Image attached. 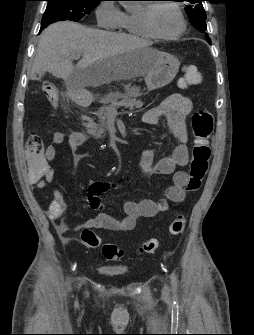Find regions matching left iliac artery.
Returning a JSON list of instances; mask_svg holds the SVG:
<instances>
[{
    "label": "left iliac artery",
    "instance_id": "1",
    "mask_svg": "<svg viewBox=\"0 0 254 335\" xmlns=\"http://www.w3.org/2000/svg\"><path fill=\"white\" fill-rule=\"evenodd\" d=\"M171 279H172L173 291H174V293H176V287H177L176 277L173 275Z\"/></svg>",
    "mask_w": 254,
    "mask_h": 335
}]
</instances>
